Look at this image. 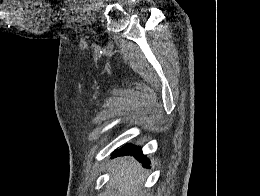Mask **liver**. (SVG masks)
I'll use <instances>...</instances> for the list:
<instances>
[{
  "mask_svg": "<svg viewBox=\"0 0 260 196\" xmlns=\"http://www.w3.org/2000/svg\"><path fill=\"white\" fill-rule=\"evenodd\" d=\"M111 188H116L121 196H143L145 170L134 158H120V162L111 166Z\"/></svg>",
  "mask_w": 260,
  "mask_h": 196,
  "instance_id": "liver-1",
  "label": "liver"
}]
</instances>
